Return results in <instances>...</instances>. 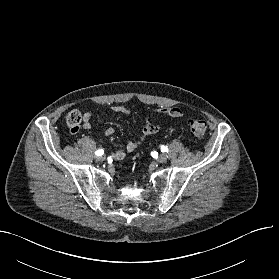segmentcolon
<instances>
[{
	"label": "colon",
	"instance_id": "1",
	"mask_svg": "<svg viewBox=\"0 0 279 279\" xmlns=\"http://www.w3.org/2000/svg\"><path fill=\"white\" fill-rule=\"evenodd\" d=\"M81 122L82 116L77 110L70 111L66 115V123L72 133L78 132ZM187 125L189 130L197 137L204 136L207 129L206 123L200 119H189Z\"/></svg>",
	"mask_w": 279,
	"mask_h": 279
}]
</instances>
